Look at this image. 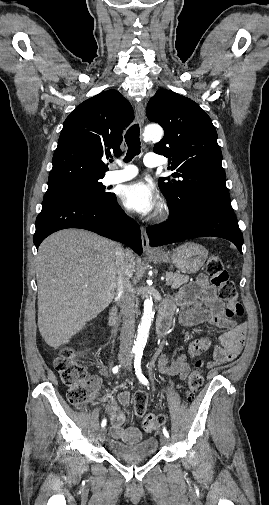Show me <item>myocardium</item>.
<instances>
[{"label": "myocardium", "mask_w": 269, "mask_h": 505, "mask_svg": "<svg viewBox=\"0 0 269 505\" xmlns=\"http://www.w3.org/2000/svg\"><path fill=\"white\" fill-rule=\"evenodd\" d=\"M169 214V209L167 206H163L159 212V218L163 219Z\"/></svg>", "instance_id": "f54148a6"}]
</instances>
